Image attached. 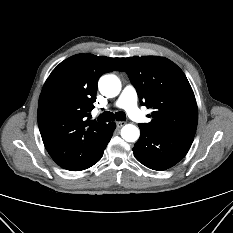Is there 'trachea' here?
<instances>
[{
  "instance_id": "1",
  "label": "trachea",
  "mask_w": 233,
  "mask_h": 233,
  "mask_svg": "<svg viewBox=\"0 0 233 233\" xmlns=\"http://www.w3.org/2000/svg\"><path fill=\"white\" fill-rule=\"evenodd\" d=\"M117 120V121H125L126 120V115L124 112H117L115 114H113L112 112H104L102 113L99 117H98V120L100 122H110V121H113V120Z\"/></svg>"
}]
</instances>
